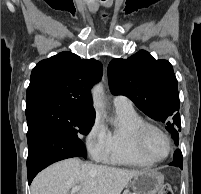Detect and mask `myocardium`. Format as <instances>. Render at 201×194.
Instances as JSON below:
<instances>
[{"label":"myocardium","mask_w":201,"mask_h":194,"mask_svg":"<svg viewBox=\"0 0 201 194\" xmlns=\"http://www.w3.org/2000/svg\"><path fill=\"white\" fill-rule=\"evenodd\" d=\"M153 129L158 131L160 134H162L164 136V138L167 141L168 144V151L166 153V155L162 158H154L151 155L148 154V152L145 149V145H144V140H145V135L147 133L148 130ZM135 142H136V146L139 150V152L149 161L153 162V163H158V162H162L164 160H166L170 154L172 153L173 150V143L171 140V137L169 136V134L159 125L151 123V122H143L136 130V134H135Z\"/></svg>","instance_id":"obj_1"}]
</instances>
